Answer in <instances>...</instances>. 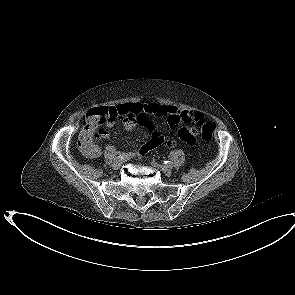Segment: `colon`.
Returning a JSON list of instances; mask_svg holds the SVG:
<instances>
[{"instance_id":"1","label":"colon","mask_w":295,"mask_h":295,"mask_svg":"<svg viewBox=\"0 0 295 295\" xmlns=\"http://www.w3.org/2000/svg\"><path fill=\"white\" fill-rule=\"evenodd\" d=\"M108 115V112L104 109L95 108L92 109L86 116L87 121H98L104 120ZM193 125H195L200 132L201 137L204 140H210L213 136V133L216 129V125L213 121L199 118L194 121ZM79 144L84 152H89L91 148V139L87 137L84 133L81 132L79 138Z\"/></svg>"}]
</instances>
